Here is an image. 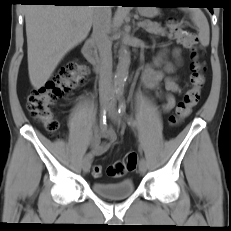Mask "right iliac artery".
<instances>
[{
    "label": "right iliac artery",
    "mask_w": 231,
    "mask_h": 231,
    "mask_svg": "<svg viewBox=\"0 0 231 231\" xmlns=\"http://www.w3.org/2000/svg\"><path fill=\"white\" fill-rule=\"evenodd\" d=\"M114 92H115V91H114ZM99 127H100V130H101V131H104V130L107 129V117H106L105 111H104V113L102 114V116H101V118H100ZM86 158L92 159V158H93V153H92V152H89V153L86 155Z\"/></svg>",
    "instance_id": "1"
}]
</instances>
